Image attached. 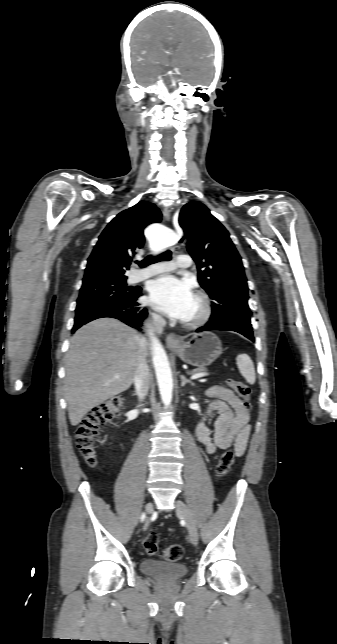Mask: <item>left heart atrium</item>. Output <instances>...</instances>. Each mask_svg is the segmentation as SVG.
Segmentation results:
<instances>
[{"mask_svg": "<svg viewBox=\"0 0 337 644\" xmlns=\"http://www.w3.org/2000/svg\"><path fill=\"white\" fill-rule=\"evenodd\" d=\"M194 299L193 291L186 281L171 275L153 280L149 287V300L161 313L184 320Z\"/></svg>", "mask_w": 337, "mask_h": 644, "instance_id": "39dd6f15", "label": "left heart atrium"}]
</instances>
